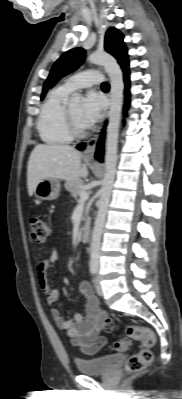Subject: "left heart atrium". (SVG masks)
<instances>
[{
    "instance_id": "obj_1",
    "label": "left heart atrium",
    "mask_w": 182,
    "mask_h": 399,
    "mask_svg": "<svg viewBox=\"0 0 182 399\" xmlns=\"http://www.w3.org/2000/svg\"><path fill=\"white\" fill-rule=\"evenodd\" d=\"M105 101L102 95L90 92L86 95L82 107L80 119L85 128L92 126L103 114Z\"/></svg>"
}]
</instances>
